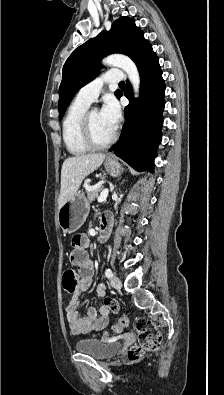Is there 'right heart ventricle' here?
<instances>
[{"instance_id":"right-heart-ventricle-1","label":"right heart ventricle","mask_w":224,"mask_h":395,"mask_svg":"<svg viewBox=\"0 0 224 395\" xmlns=\"http://www.w3.org/2000/svg\"><path fill=\"white\" fill-rule=\"evenodd\" d=\"M88 107V103L76 98L63 120V140L67 150L75 156L83 155L89 150L81 135V121Z\"/></svg>"}]
</instances>
